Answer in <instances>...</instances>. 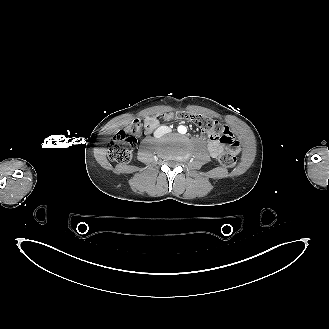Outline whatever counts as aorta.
<instances>
[{
	"instance_id": "762f6f07",
	"label": "aorta",
	"mask_w": 329,
	"mask_h": 329,
	"mask_svg": "<svg viewBox=\"0 0 329 329\" xmlns=\"http://www.w3.org/2000/svg\"><path fill=\"white\" fill-rule=\"evenodd\" d=\"M178 132L181 134H185L187 132V129L185 126H179L178 127Z\"/></svg>"
}]
</instances>
